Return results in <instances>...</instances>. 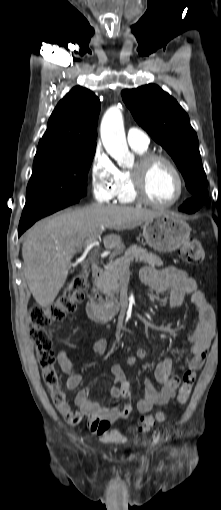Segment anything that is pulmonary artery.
Wrapping results in <instances>:
<instances>
[{
  "mask_svg": "<svg viewBox=\"0 0 221 510\" xmlns=\"http://www.w3.org/2000/svg\"><path fill=\"white\" fill-rule=\"evenodd\" d=\"M127 141L131 147L146 148L149 145L150 138L142 129L131 127L127 132Z\"/></svg>",
  "mask_w": 221,
  "mask_h": 510,
  "instance_id": "pulmonary-artery-1",
  "label": "pulmonary artery"
}]
</instances>
